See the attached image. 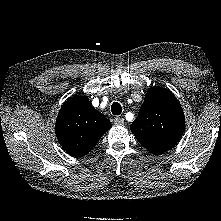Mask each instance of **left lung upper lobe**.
Wrapping results in <instances>:
<instances>
[{
  "instance_id": "obj_1",
  "label": "left lung upper lobe",
  "mask_w": 221,
  "mask_h": 221,
  "mask_svg": "<svg viewBox=\"0 0 221 221\" xmlns=\"http://www.w3.org/2000/svg\"><path fill=\"white\" fill-rule=\"evenodd\" d=\"M130 128L141 145L150 153L159 155L180 140L185 130V117L171 91L151 87Z\"/></svg>"
}]
</instances>
